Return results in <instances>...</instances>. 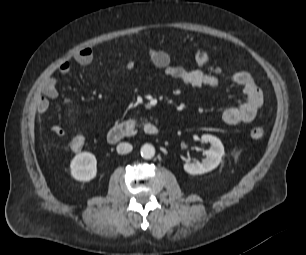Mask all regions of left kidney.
I'll return each mask as SVG.
<instances>
[{
    "mask_svg": "<svg viewBox=\"0 0 306 255\" xmlns=\"http://www.w3.org/2000/svg\"><path fill=\"white\" fill-rule=\"evenodd\" d=\"M201 140L210 144V149L206 150L204 154L206 158L202 162L196 161L194 163H185L184 170L191 175H198L207 173L215 169L221 162L224 152V146L221 140L215 136L204 134Z\"/></svg>",
    "mask_w": 306,
    "mask_h": 255,
    "instance_id": "5707ae66",
    "label": "left kidney"
}]
</instances>
